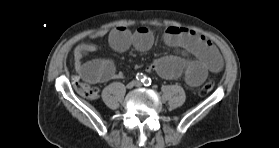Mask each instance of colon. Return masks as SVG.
<instances>
[{
  "instance_id": "5ec220e1",
  "label": "colon",
  "mask_w": 279,
  "mask_h": 148,
  "mask_svg": "<svg viewBox=\"0 0 279 148\" xmlns=\"http://www.w3.org/2000/svg\"><path fill=\"white\" fill-rule=\"evenodd\" d=\"M73 86L75 90L83 97L88 99H95L98 96V90L87 83L81 82L77 78L73 79ZM214 83L212 80L206 81L198 90L200 96H204L213 90Z\"/></svg>"
}]
</instances>
